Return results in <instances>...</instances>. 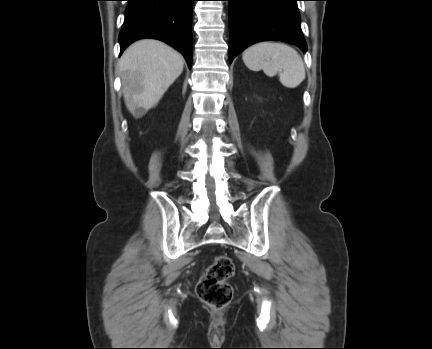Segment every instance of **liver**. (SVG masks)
<instances>
[{
	"label": "liver",
	"instance_id": "1",
	"mask_svg": "<svg viewBox=\"0 0 432 349\" xmlns=\"http://www.w3.org/2000/svg\"><path fill=\"white\" fill-rule=\"evenodd\" d=\"M183 67L182 55L160 41L144 39L130 45L119 63L128 110L140 117L155 107Z\"/></svg>",
	"mask_w": 432,
	"mask_h": 349
}]
</instances>
